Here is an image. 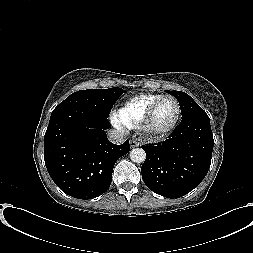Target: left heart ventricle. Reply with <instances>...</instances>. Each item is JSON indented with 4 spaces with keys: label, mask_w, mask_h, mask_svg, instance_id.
I'll use <instances>...</instances> for the list:
<instances>
[{
    "label": "left heart ventricle",
    "mask_w": 253,
    "mask_h": 253,
    "mask_svg": "<svg viewBox=\"0 0 253 253\" xmlns=\"http://www.w3.org/2000/svg\"><path fill=\"white\" fill-rule=\"evenodd\" d=\"M176 104L172 99H164L159 104L152 127L156 130H163L168 127L176 116Z\"/></svg>",
    "instance_id": "left-heart-ventricle-1"
}]
</instances>
